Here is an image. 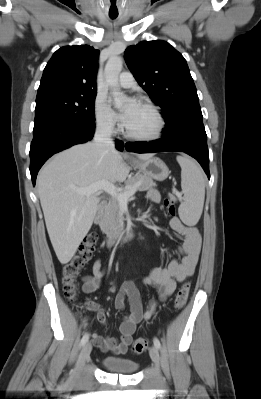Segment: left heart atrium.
Segmentation results:
<instances>
[{"mask_svg":"<svg viewBox=\"0 0 261 399\" xmlns=\"http://www.w3.org/2000/svg\"><path fill=\"white\" fill-rule=\"evenodd\" d=\"M139 105L140 104L136 100H131L128 106L119 114V118L124 125L129 121L131 115Z\"/></svg>","mask_w":261,"mask_h":399,"instance_id":"left-heart-atrium-1","label":"left heart atrium"}]
</instances>
